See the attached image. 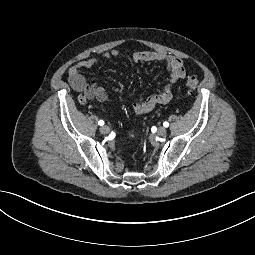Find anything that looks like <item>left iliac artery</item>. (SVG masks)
I'll use <instances>...</instances> for the list:
<instances>
[{"label": "left iliac artery", "instance_id": "44dca946", "mask_svg": "<svg viewBox=\"0 0 255 255\" xmlns=\"http://www.w3.org/2000/svg\"><path fill=\"white\" fill-rule=\"evenodd\" d=\"M163 126H164V127H168V126H169V123L165 121V122L163 123Z\"/></svg>", "mask_w": 255, "mask_h": 255}]
</instances>
